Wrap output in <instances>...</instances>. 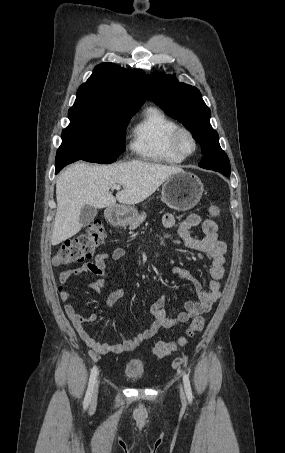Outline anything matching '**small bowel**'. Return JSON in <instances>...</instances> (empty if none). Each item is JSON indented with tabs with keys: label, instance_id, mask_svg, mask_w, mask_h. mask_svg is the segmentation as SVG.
I'll return each instance as SVG.
<instances>
[{
	"label": "small bowel",
	"instance_id": "small-bowel-1",
	"mask_svg": "<svg viewBox=\"0 0 285 453\" xmlns=\"http://www.w3.org/2000/svg\"><path fill=\"white\" fill-rule=\"evenodd\" d=\"M175 217L171 213H166L162 218L163 226L167 229L175 226ZM201 225L204 233L203 238L191 236L190 230ZM217 224L211 219H203L198 214L187 216L178 226L177 233L183 245L189 249L203 253L210 261L209 277L210 279L204 286L186 269L175 266L172 273L179 278L190 282L197 295V301H187L185 311L180 312L177 316L168 318L164 309L165 296L155 299L151 305L150 311L154 318L152 324L142 333L133 338H125L115 344H109L97 341L86 329V323H92L97 320V314L88 315L79 314L73 305L70 304V293L64 288V284L72 277L84 273H91L95 278L90 282V288L96 294H101L105 290V279L107 278V264L109 261H118L126 254L122 247L114 249L111 253L97 254L93 262L85 263L80 267L67 269L60 273L58 293L64 304V309L72 321L75 330L85 344L94 352L99 354H121L134 350L142 342L150 340L158 331L171 329L179 324L185 323L192 318H196L203 313L209 312L213 304L221 295V280L224 276L225 253L227 244L218 239ZM124 296L123 289H116L108 292L104 299V305L110 309L119 299Z\"/></svg>",
	"mask_w": 285,
	"mask_h": 453
}]
</instances>
